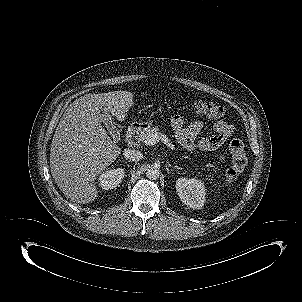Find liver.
<instances>
[{
	"label": "liver",
	"instance_id": "6515ba94",
	"mask_svg": "<svg viewBox=\"0 0 302 302\" xmlns=\"http://www.w3.org/2000/svg\"><path fill=\"white\" fill-rule=\"evenodd\" d=\"M133 95L127 91L88 93L69 105L52 139L50 170L65 196L77 203L97 197L96 177L120 154L102 127L104 113L124 120Z\"/></svg>",
	"mask_w": 302,
	"mask_h": 302
}]
</instances>
